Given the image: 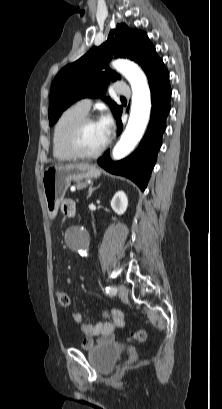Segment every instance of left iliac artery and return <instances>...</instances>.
I'll list each match as a JSON object with an SVG mask.
<instances>
[{"instance_id":"44dca946","label":"left iliac artery","mask_w":222,"mask_h":409,"mask_svg":"<svg viewBox=\"0 0 222 409\" xmlns=\"http://www.w3.org/2000/svg\"><path fill=\"white\" fill-rule=\"evenodd\" d=\"M105 291L107 294L109 295H115L117 293V288L116 287H111V286H107L105 288Z\"/></svg>"}]
</instances>
